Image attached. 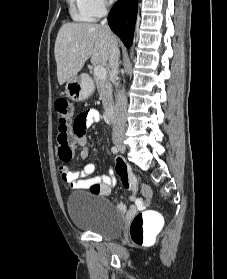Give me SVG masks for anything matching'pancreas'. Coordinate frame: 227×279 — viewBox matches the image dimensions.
Segmentation results:
<instances>
[{
	"instance_id": "1",
	"label": "pancreas",
	"mask_w": 227,
	"mask_h": 279,
	"mask_svg": "<svg viewBox=\"0 0 227 279\" xmlns=\"http://www.w3.org/2000/svg\"><path fill=\"white\" fill-rule=\"evenodd\" d=\"M94 81L97 87V91L100 94L104 108H107L113 104V95H112V85L109 80L99 79L94 74Z\"/></svg>"
}]
</instances>
